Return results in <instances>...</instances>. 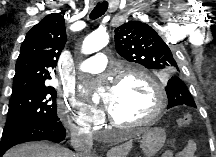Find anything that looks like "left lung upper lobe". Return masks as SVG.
Instances as JSON below:
<instances>
[{"label": "left lung upper lobe", "mask_w": 216, "mask_h": 157, "mask_svg": "<svg viewBox=\"0 0 216 157\" xmlns=\"http://www.w3.org/2000/svg\"><path fill=\"white\" fill-rule=\"evenodd\" d=\"M166 44L167 39L157 34L156 27L140 21H128L115 29V47L120 56L171 76L165 87L168 104L178 102L180 105L196 107L185 83L179 78L181 64H177L172 55L175 49Z\"/></svg>", "instance_id": "5c2ea615"}]
</instances>
